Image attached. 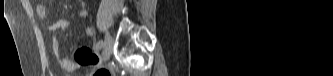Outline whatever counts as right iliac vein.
Masks as SVG:
<instances>
[{"mask_svg": "<svg viewBox=\"0 0 333 76\" xmlns=\"http://www.w3.org/2000/svg\"><path fill=\"white\" fill-rule=\"evenodd\" d=\"M112 37L110 36L109 33L106 34L105 39H104V48H103V56H102V61H107L110 57L111 51H112Z\"/></svg>", "mask_w": 333, "mask_h": 76, "instance_id": "right-iliac-vein-1", "label": "right iliac vein"}]
</instances>
